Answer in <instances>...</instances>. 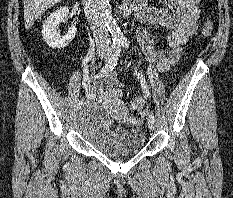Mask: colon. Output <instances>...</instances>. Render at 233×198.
<instances>
[{"label":"colon","mask_w":233,"mask_h":198,"mask_svg":"<svg viewBox=\"0 0 233 198\" xmlns=\"http://www.w3.org/2000/svg\"><path fill=\"white\" fill-rule=\"evenodd\" d=\"M194 4L196 5L199 0H193ZM213 32V24L211 21H206L204 24H203V27H202V33L205 37H210L211 34ZM144 104H145V101L143 99V97H137L135 98L131 104H130V109L131 111L134 113V114H138L142 111V109L144 108Z\"/></svg>","instance_id":"obj_1"}]
</instances>
